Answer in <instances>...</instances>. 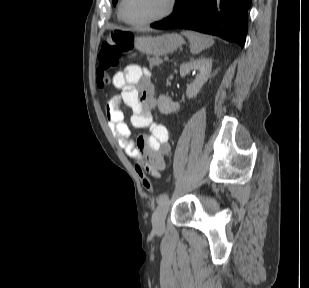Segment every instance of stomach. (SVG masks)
Segmentation results:
<instances>
[{
	"instance_id": "stomach-1",
	"label": "stomach",
	"mask_w": 309,
	"mask_h": 288,
	"mask_svg": "<svg viewBox=\"0 0 309 288\" xmlns=\"http://www.w3.org/2000/svg\"><path fill=\"white\" fill-rule=\"evenodd\" d=\"M183 43V38L176 33L164 34L156 37L142 36L135 38V47L140 52L156 57L173 52Z\"/></svg>"
}]
</instances>
